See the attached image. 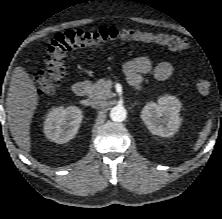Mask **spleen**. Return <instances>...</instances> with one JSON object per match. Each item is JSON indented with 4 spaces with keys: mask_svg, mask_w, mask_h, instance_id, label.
Segmentation results:
<instances>
[{
    "mask_svg": "<svg viewBox=\"0 0 222 219\" xmlns=\"http://www.w3.org/2000/svg\"><path fill=\"white\" fill-rule=\"evenodd\" d=\"M211 120H209L206 124V126L204 127V129L200 132L199 134V138L195 144V147H194V151H197L205 142L210 130H211Z\"/></svg>",
    "mask_w": 222,
    "mask_h": 219,
    "instance_id": "1",
    "label": "spleen"
}]
</instances>
